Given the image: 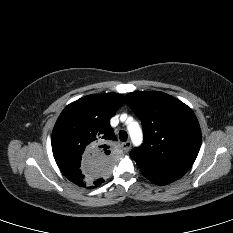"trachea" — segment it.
Returning a JSON list of instances; mask_svg holds the SVG:
<instances>
[{
	"mask_svg": "<svg viewBox=\"0 0 233 233\" xmlns=\"http://www.w3.org/2000/svg\"><path fill=\"white\" fill-rule=\"evenodd\" d=\"M119 138H120L121 141H126L127 138H128L127 132H126V131H123V130L120 131V132H119Z\"/></svg>",
	"mask_w": 233,
	"mask_h": 233,
	"instance_id": "3493384b",
	"label": "trachea"
}]
</instances>
